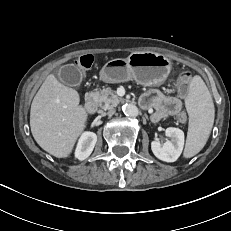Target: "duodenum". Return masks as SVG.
<instances>
[{
    "mask_svg": "<svg viewBox=\"0 0 231 231\" xmlns=\"http://www.w3.org/2000/svg\"><path fill=\"white\" fill-rule=\"evenodd\" d=\"M84 109L87 113L92 114L97 110V102L93 95H89L84 103Z\"/></svg>",
    "mask_w": 231,
    "mask_h": 231,
    "instance_id": "obj_1",
    "label": "duodenum"
}]
</instances>
